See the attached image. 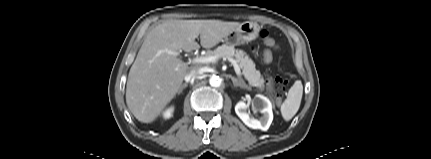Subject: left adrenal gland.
<instances>
[{"mask_svg":"<svg viewBox=\"0 0 431 159\" xmlns=\"http://www.w3.org/2000/svg\"><path fill=\"white\" fill-rule=\"evenodd\" d=\"M230 78L233 82L234 87H240V88H244L247 90H251V88L249 86H247L243 80H241V79L238 80L237 78H235L233 76H230Z\"/></svg>","mask_w":431,"mask_h":159,"instance_id":"left-adrenal-gland-1","label":"left adrenal gland"}]
</instances>
